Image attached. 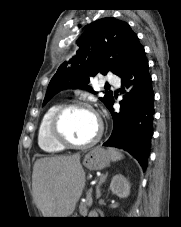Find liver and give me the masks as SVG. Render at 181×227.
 Here are the masks:
<instances>
[{
    "label": "liver",
    "instance_id": "6515ba94",
    "mask_svg": "<svg viewBox=\"0 0 181 227\" xmlns=\"http://www.w3.org/2000/svg\"><path fill=\"white\" fill-rule=\"evenodd\" d=\"M85 186L80 154L37 160L33 167L32 189L37 208L44 217H68Z\"/></svg>",
    "mask_w": 181,
    "mask_h": 227
}]
</instances>
